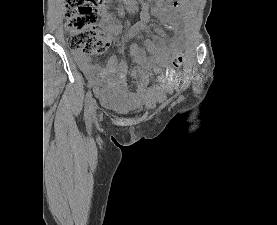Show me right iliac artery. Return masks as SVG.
I'll use <instances>...</instances> for the list:
<instances>
[{
	"label": "right iliac artery",
	"mask_w": 277,
	"mask_h": 225,
	"mask_svg": "<svg viewBox=\"0 0 277 225\" xmlns=\"http://www.w3.org/2000/svg\"><path fill=\"white\" fill-rule=\"evenodd\" d=\"M91 109H92V94H91V92H88L86 94V98H85V112H84V116H85L86 120L90 119Z\"/></svg>",
	"instance_id": "1"
}]
</instances>
